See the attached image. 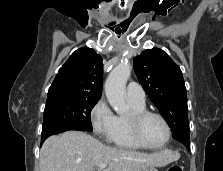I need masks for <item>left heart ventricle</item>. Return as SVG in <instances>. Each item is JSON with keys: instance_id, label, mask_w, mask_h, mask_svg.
<instances>
[{"instance_id": "1", "label": "left heart ventricle", "mask_w": 223, "mask_h": 171, "mask_svg": "<svg viewBox=\"0 0 223 171\" xmlns=\"http://www.w3.org/2000/svg\"><path fill=\"white\" fill-rule=\"evenodd\" d=\"M140 134L147 145L157 147L164 143L167 131L160 119L148 116L141 123Z\"/></svg>"}]
</instances>
